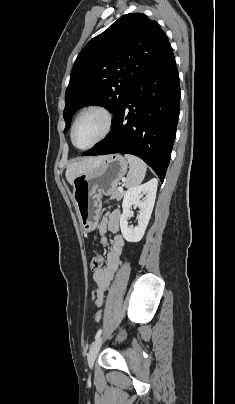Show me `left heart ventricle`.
<instances>
[{
    "instance_id": "left-heart-ventricle-1",
    "label": "left heart ventricle",
    "mask_w": 235,
    "mask_h": 404,
    "mask_svg": "<svg viewBox=\"0 0 235 404\" xmlns=\"http://www.w3.org/2000/svg\"><path fill=\"white\" fill-rule=\"evenodd\" d=\"M105 119L99 113L84 115L77 123L74 131V142L78 147H86L102 134Z\"/></svg>"
}]
</instances>
